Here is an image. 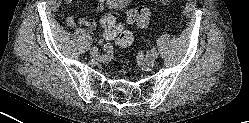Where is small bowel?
Segmentation results:
<instances>
[{
    "mask_svg": "<svg viewBox=\"0 0 249 123\" xmlns=\"http://www.w3.org/2000/svg\"><path fill=\"white\" fill-rule=\"evenodd\" d=\"M105 1L106 0H99L98 1V5L96 8V12L98 14H100L104 7H105ZM74 0H64V3L66 5V7H71L73 4ZM66 23L69 27H74L75 25H81L87 28H95L97 26V22L94 19H85V18H78L75 19L73 16L68 15L66 17ZM106 37V36H105ZM107 39H109L108 37H106Z\"/></svg>",
    "mask_w": 249,
    "mask_h": 123,
    "instance_id": "small-bowel-1",
    "label": "small bowel"
}]
</instances>
